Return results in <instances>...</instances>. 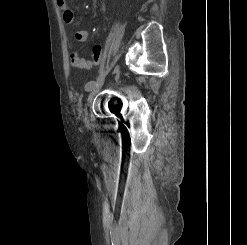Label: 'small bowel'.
<instances>
[{
  "label": "small bowel",
  "instance_id": "1",
  "mask_svg": "<svg viewBox=\"0 0 247 245\" xmlns=\"http://www.w3.org/2000/svg\"><path fill=\"white\" fill-rule=\"evenodd\" d=\"M58 7L62 10V17L65 23L71 24L74 21V14L67 6V0H56ZM90 34L86 31H77L74 37L77 41L83 42L89 38ZM101 59V47L96 45L93 49V59L88 60L79 56L77 52L70 54V62L74 67L80 69H90L94 64H98Z\"/></svg>",
  "mask_w": 247,
  "mask_h": 245
}]
</instances>
